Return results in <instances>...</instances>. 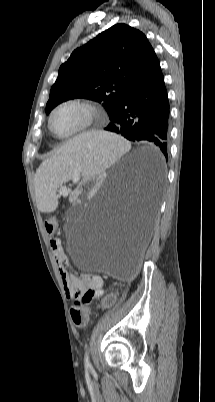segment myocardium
Here are the masks:
<instances>
[{
    "label": "myocardium",
    "instance_id": "f54148a6",
    "mask_svg": "<svg viewBox=\"0 0 215 402\" xmlns=\"http://www.w3.org/2000/svg\"><path fill=\"white\" fill-rule=\"evenodd\" d=\"M68 106L77 107V108L83 110L85 113V119H84L83 124L78 129H76L73 132H70L68 134L61 135V134H58L55 132L52 122H53L54 115L60 109L68 107ZM98 115H99V109L91 101L84 100V99H76V98L67 99V100H64V101L60 102L59 104H57L50 112V115L48 117V128H49L50 132L52 133V135L58 139H64V140L71 139V138L77 137V136L85 133L89 129H91L92 126L94 125Z\"/></svg>",
    "mask_w": 215,
    "mask_h": 402
}]
</instances>
